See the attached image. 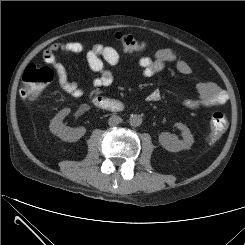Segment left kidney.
Masks as SVG:
<instances>
[{"label":"left kidney","instance_id":"left-kidney-1","mask_svg":"<svg viewBox=\"0 0 245 245\" xmlns=\"http://www.w3.org/2000/svg\"><path fill=\"white\" fill-rule=\"evenodd\" d=\"M175 126L181 130L183 140H179L177 136L165 132L159 138L161 145L170 152H178L190 148L194 143V138L189 128L182 123H176Z\"/></svg>","mask_w":245,"mask_h":245}]
</instances>
